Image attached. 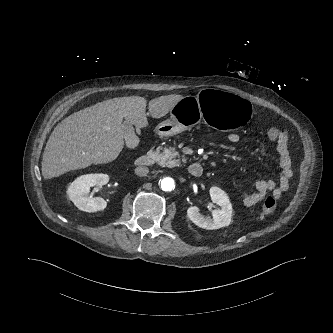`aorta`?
I'll list each match as a JSON object with an SVG mask.
<instances>
[{
  "instance_id": "obj_1",
  "label": "aorta",
  "mask_w": 333,
  "mask_h": 333,
  "mask_svg": "<svg viewBox=\"0 0 333 333\" xmlns=\"http://www.w3.org/2000/svg\"><path fill=\"white\" fill-rule=\"evenodd\" d=\"M160 187L163 191H171L175 187V182L171 177H165L160 181Z\"/></svg>"
}]
</instances>
